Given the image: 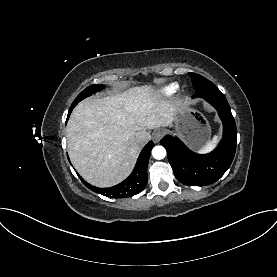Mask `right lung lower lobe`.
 <instances>
[{
    "instance_id": "1",
    "label": "right lung lower lobe",
    "mask_w": 277,
    "mask_h": 277,
    "mask_svg": "<svg viewBox=\"0 0 277 277\" xmlns=\"http://www.w3.org/2000/svg\"><path fill=\"white\" fill-rule=\"evenodd\" d=\"M153 147L154 143L150 141L141 151L136 166L131 175L116 186L109 188H98L85 182L82 177L79 176V178L81 179L83 184L90 190L107 197L124 198L136 195L140 193L147 184V166L150 158V152Z\"/></svg>"
}]
</instances>
